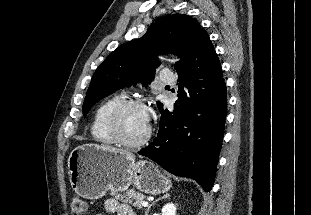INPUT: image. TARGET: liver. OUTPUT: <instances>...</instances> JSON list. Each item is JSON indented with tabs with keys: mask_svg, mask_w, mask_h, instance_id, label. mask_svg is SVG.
<instances>
[{
	"mask_svg": "<svg viewBox=\"0 0 311 215\" xmlns=\"http://www.w3.org/2000/svg\"><path fill=\"white\" fill-rule=\"evenodd\" d=\"M101 147H103V148H105V149H107V150H109L111 152H118V153L126 154L129 157L134 158V156L131 153H129V152L125 151V150H120V149H117L115 147H111V146H108V145H101Z\"/></svg>",
	"mask_w": 311,
	"mask_h": 215,
	"instance_id": "obj_1",
	"label": "liver"
}]
</instances>
